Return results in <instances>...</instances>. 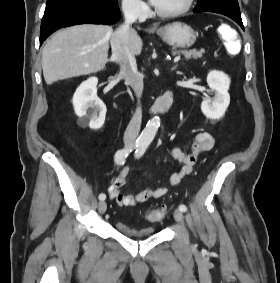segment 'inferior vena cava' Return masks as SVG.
<instances>
[{
    "mask_svg": "<svg viewBox=\"0 0 280 283\" xmlns=\"http://www.w3.org/2000/svg\"><path fill=\"white\" fill-rule=\"evenodd\" d=\"M122 11L125 22L116 30L111 41L113 60L119 63L120 75L132 87L137 98L140 99L143 91V77L137 70L135 55L129 44L130 25L138 18L139 5L131 1L124 2L122 4ZM141 122L142 110L138 106L125 130L123 137L125 144H133L135 142L140 132Z\"/></svg>",
    "mask_w": 280,
    "mask_h": 283,
    "instance_id": "602c4592",
    "label": "inferior vena cava"
}]
</instances>
